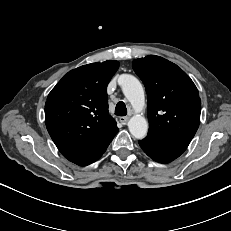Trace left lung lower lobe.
<instances>
[{
  "mask_svg": "<svg viewBox=\"0 0 231 231\" xmlns=\"http://www.w3.org/2000/svg\"><path fill=\"white\" fill-rule=\"evenodd\" d=\"M138 143L150 158L160 163H169L184 152V150L162 142L151 135H147Z\"/></svg>",
  "mask_w": 231,
  "mask_h": 231,
  "instance_id": "obj_1",
  "label": "left lung lower lobe"
}]
</instances>
